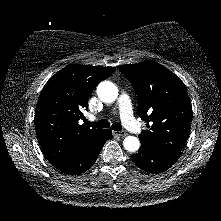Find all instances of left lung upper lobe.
I'll return each mask as SVG.
<instances>
[{"mask_svg":"<svg viewBox=\"0 0 221 221\" xmlns=\"http://www.w3.org/2000/svg\"><path fill=\"white\" fill-rule=\"evenodd\" d=\"M138 97V113L149 130L140 135L151 149L180 154L190 134L192 106L181 79L152 60L118 66Z\"/></svg>","mask_w":221,"mask_h":221,"instance_id":"1","label":"left lung upper lobe"}]
</instances>
